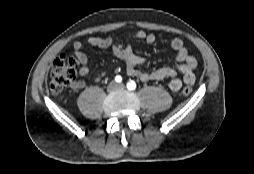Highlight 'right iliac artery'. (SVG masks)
I'll use <instances>...</instances> for the list:
<instances>
[{
    "instance_id": "obj_1",
    "label": "right iliac artery",
    "mask_w": 254,
    "mask_h": 174,
    "mask_svg": "<svg viewBox=\"0 0 254 174\" xmlns=\"http://www.w3.org/2000/svg\"><path fill=\"white\" fill-rule=\"evenodd\" d=\"M115 81L118 82V83H120V82L122 81V77L119 76V75L116 76V77H115Z\"/></svg>"
}]
</instances>
